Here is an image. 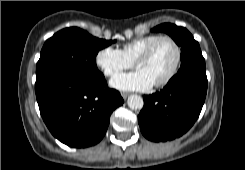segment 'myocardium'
<instances>
[{
    "label": "myocardium",
    "instance_id": "obj_1",
    "mask_svg": "<svg viewBox=\"0 0 245 170\" xmlns=\"http://www.w3.org/2000/svg\"><path fill=\"white\" fill-rule=\"evenodd\" d=\"M162 40H167L172 44V46L175 50V61H174V64H173L170 72L162 80L153 83V86H155V87H161V86L167 85L175 77V75L178 72V69H179L180 63H181V59H182V51H181V47L176 42V40L169 35H160L157 38H155L153 41H151L139 53V55L136 57V59L134 61V64L137 67V65L140 61L147 59L151 55L155 45Z\"/></svg>",
    "mask_w": 245,
    "mask_h": 170
}]
</instances>
